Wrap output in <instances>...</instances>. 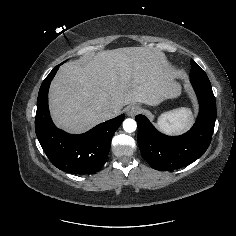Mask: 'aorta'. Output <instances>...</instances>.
I'll return each instance as SVG.
<instances>
[{
    "instance_id": "aorta-1",
    "label": "aorta",
    "mask_w": 236,
    "mask_h": 236,
    "mask_svg": "<svg viewBox=\"0 0 236 236\" xmlns=\"http://www.w3.org/2000/svg\"><path fill=\"white\" fill-rule=\"evenodd\" d=\"M137 128V123L135 120L128 118L123 121V129L128 132H134Z\"/></svg>"
}]
</instances>
